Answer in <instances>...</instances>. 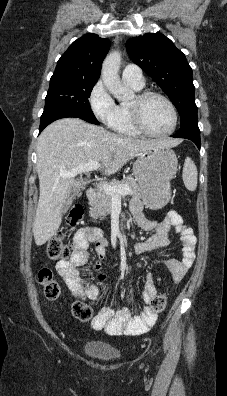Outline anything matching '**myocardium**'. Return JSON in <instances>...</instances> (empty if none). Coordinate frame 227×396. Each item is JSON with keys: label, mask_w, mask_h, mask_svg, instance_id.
<instances>
[{"label": "myocardium", "mask_w": 227, "mask_h": 396, "mask_svg": "<svg viewBox=\"0 0 227 396\" xmlns=\"http://www.w3.org/2000/svg\"><path fill=\"white\" fill-rule=\"evenodd\" d=\"M151 96H157V97L161 98L162 100H164L171 111L173 122H172L171 128L168 131L161 132V133L153 132V131L149 130L146 127V125L144 124V121L142 118V104L144 103V101L146 99H148ZM129 110H130V115H131L133 125L139 132H141L144 135H147L150 137H167V136L173 134L177 128V125H178L177 109H176L174 103L172 102V100L162 92H159L156 90L139 91L135 95L134 100L129 103Z\"/></svg>", "instance_id": "obj_1"}]
</instances>
